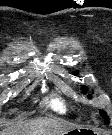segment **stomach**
Segmentation results:
<instances>
[{
  "label": "stomach",
  "instance_id": "1",
  "mask_svg": "<svg viewBox=\"0 0 112 135\" xmlns=\"http://www.w3.org/2000/svg\"><path fill=\"white\" fill-rule=\"evenodd\" d=\"M65 134H69V135H93V134H96V133L91 131V130H88V129L73 128V129L67 131Z\"/></svg>",
  "mask_w": 112,
  "mask_h": 135
}]
</instances>
